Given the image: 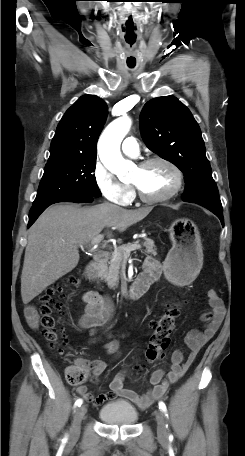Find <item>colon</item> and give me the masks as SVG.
<instances>
[{
    "mask_svg": "<svg viewBox=\"0 0 245 456\" xmlns=\"http://www.w3.org/2000/svg\"><path fill=\"white\" fill-rule=\"evenodd\" d=\"M77 279L69 276L65 284H75ZM64 296L62 285L56 284L48 289L40 297L42 326L44 335L51 346L61 347L66 343V337L60 328V321L63 315V304L61 298ZM179 314L178 305H170L155 320L150 323L152 334L145 353V359L148 363L158 361L164 350L169 346L170 334L175 327V322ZM89 376V368L77 361L66 369V380L71 385H80L84 383Z\"/></svg>",
    "mask_w": 245,
    "mask_h": 456,
    "instance_id": "colon-1",
    "label": "colon"
}]
</instances>
